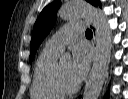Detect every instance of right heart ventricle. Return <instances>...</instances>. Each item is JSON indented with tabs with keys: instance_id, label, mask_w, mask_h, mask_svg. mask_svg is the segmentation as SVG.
Returning a JSON list of instances; mask_svg holds the SVG:
<instances>
[{
	"instance_id": "1",
	"label": "right heart ventricle",
	"mask_w": 128,
	"mask_h": 99,
	"mask_svg": "<svg viewBox=\"0 0 128 99\" xmlns=\"http://www.w3.org/2000/svg\"><path fill=\"white\" fill-rule=\"evenodd\" d=\"M59 52L45 47L34 66L31 97L33 99H60L64 95L53 84L52 74Z\"/></svg>"
}]
</instances>
